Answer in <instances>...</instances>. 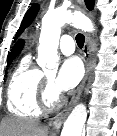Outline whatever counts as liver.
Returning a JSON list of instances; mask_svg holds the SVG:
<instances>
[{
	"label": "liver",
	"instance_id": "obj_1",
	"mask_svg": "<svg viewBox=\"0 0 117 136\" xmlns=\"http://www.w3.org/2000/svg\"><path fill=\"white\" fill-rule=\"evenodd\" d=\"M4 136H48V129L35 121L6 119L2 122Z\"/></svg>",
	"mask_w": 117,
	"mask_h": 136
}]
</instances>
